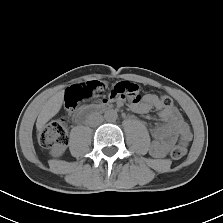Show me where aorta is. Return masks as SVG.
<instances>
[{"label":"aorta","instance_id":"obj_1","mask_svg":"<svg viewBox=\"0 0 223 223\" xmlns=\"http://www.w3.org/2000/svg\"><path fill=\"white\" fill-rule=\"evenodd\" d=\"M117 112L113 109L107 110L104 114V118L108 122H115L117 120Z\"/></svg>","mask_w":223,"mask_h":223}]
</instances>
